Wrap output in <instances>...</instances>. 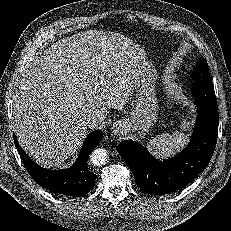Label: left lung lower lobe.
Returning a JSON list of instances; mask_svg holds the SVG:
<instances>
[{
	"instance_id": "left-lung-lower-lobe-1",
	"label": "left lung lower lobe",
	"mask_w": 231,
	"mask_h": 231,
	"mask_svg": "<svg viewBox=\"0 0 231 231\" xmlns=\"http://www.w3.org/2000/svg\"><path fill=\"white\" fill-rule=\"evenodd\" d=\"M198 106L194 134L187 148L176 157L161 162L145 147L122 141L117 151L133 172L137 186L146 193L162 195L182 189L208 165L217 141L218 107L214 86L193 83Z\"/></svg>"
}]
</instances>
